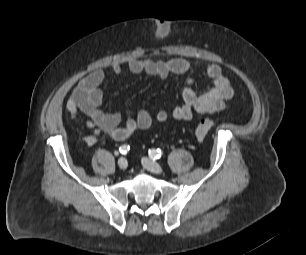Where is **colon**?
I'll use <instances>...</instances> for the list:
<instances>
[{"mask_svg":"<svg viewBox=\"0 0 306 255\" xmlns=\"http://www.w3.org/2000/svg\"><path fill=\"white\" fill-rule=\"evenodd\" d=\"M213 127H214V122L212 120H209L206 118L201 119L197 123L196 128H195L196 137L199 140L204 139Z\"/></svg>","mask_w":306,"mask_h":255,"instance_id":"colon-1","label":"colon"}]
</instances>
